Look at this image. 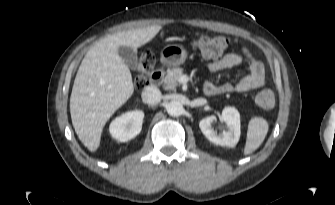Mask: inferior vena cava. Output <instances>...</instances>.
I'll use <instances>...</instances> for the list:
<instances>
[{"label":"inferior vena cava","instance_id":"inferior-vena-cava-1","mask_svg":"<svg viewBox=\"0 0 335 205\" xmlns=\"http://www.w3.org/2000/svg\"><path fill=\"white\" fill-rule=\"evenodd\" d=\"M142 100L149 105L158 104L162 99L161 91L155 86H148L142 92Z\"/></svg>","mask_w":335,"mask_h":205}]
</instances>
